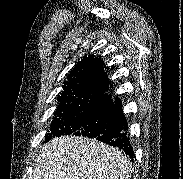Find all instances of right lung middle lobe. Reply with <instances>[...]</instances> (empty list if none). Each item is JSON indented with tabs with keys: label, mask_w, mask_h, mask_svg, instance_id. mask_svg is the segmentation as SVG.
<instances>
[{
	"label": "right lung middle lobe",
	"mask_w": 183,
	"mask_h": 179,
	"mask_svg": "<svg viewBox=\"0 0 183 179\" xmlns=\"http://www.w3.org/2000/svg\"><path fill=\"white\" fill-rule=\"evenodd\" d=\"M107 98L92 96L60 103L55 111L51 128L45 142L54 136L80 133L85 127L96 122L106 109Z\"/></svg>",
	"instance_id": "right-lung-middle-lobe-1"
}]
</instances>
